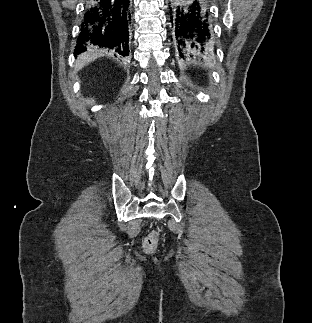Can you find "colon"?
Masks as SVG:
<instances>
[{
    "instance_id": "obj_1",
    "label": "colon",
    "mask_w": 312,
    "mask_h": 323,
    "mask_svg": "<svg viewBox=\"0 0 312 323\" xmlns=\"http://www.w3.org/2000/svg\"><path fill=\"white\" fill-rule=\"evenodd\" d=\"M158 245V238L155 235L148 236L144 240V248L149 251L156 250Z\"/></svg>"
}]
</instances>
